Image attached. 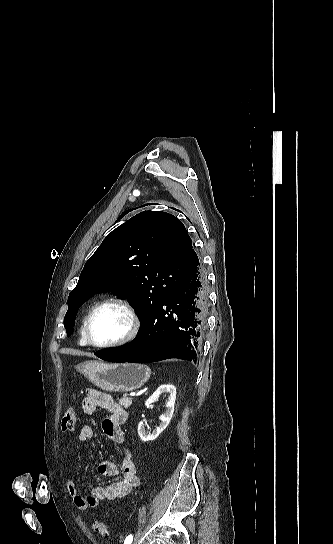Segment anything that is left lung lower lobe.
Returning <instances> with one entry per match:
<instances>
[{
    "instance_id": "left-lung-lower-lobe-1",
    "label": "left lung lower lobe",
    "mask_w": 333,
    "mask_h": 544,
    "mask_svg": "<svg viewBox=\"0 0 333 544\" xmlns=\"http://www.w3.org/2000/svg\"><path fill=\"white\" fill-rule=\"evenodd\" d=\"M207 315V281L201 263L189 269L181 282L143 322L138 335L128 344L95 355L156 362L168 358L195 361L198 358Z\"/></svg>"
}]
</instances>
